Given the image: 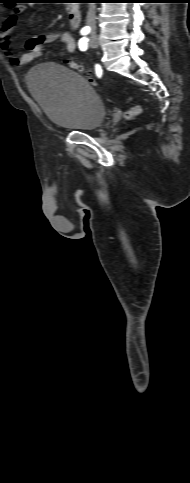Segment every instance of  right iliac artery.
Instances as JSON below:
<instances>
[{
    "instance_id": "right-iliac-artery-1",
    "label": "right iliac artery",
    "mask_w": 190,
    "mask_h": 483,
    "mask_svg": "<svg viewBox=\"0 0 190 483\" xmlns=\"http://www.w3.org/2000/svg\"><path fill=\"white\" fill-rule=\"evenodd\" d=\"M80 32H81L82 35H87L90 32V28L89 27H84V28L81 29ZM96 73L99 76V74H100V66H98V65L96 66Z\"/></svg>"
}]
</instances>
